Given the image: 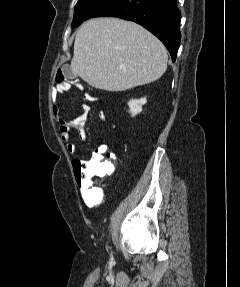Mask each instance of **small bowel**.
<instances>
[{
  "instance_id": "1",
  "label": "small bowel",
  "mask_w": 240,
  "mask_h": 287,
  "mask_svg": "<svg viewBox=\"0 0 240 287\" xmlns=\"http://www.w3.org/2000/svg\"><path fill=\"white\" fill-rule=\"evenodd\" d=\"M76 86L80 87V85L78 84ZM69 87L70 85L65 87L64 92L67 91ZM84 99L88 102H95L98 100L96 96L90 93H86L84 95ZM89 109L90 108L87 104H83L81 106V114H79L77 117H75L72 120H66L61 113L59 104H57L56 107L53 108V116L59 127L60 136L62 140L66 142V148L68 152L70 153H73L76 150L75 144L72 143L70 140L71 130H76L78 132V136L80 140L86 141L87 139V132H86L85 126L87 122V116H88ZM98 118L101 121H106L105 113L99 112ZM107 151H108V146L106 144H101L97 146L92 153L91 160L103 159ZM109 156L110 155L108 154L107 157ZM82 197L84 199V202L89 207H94L98 205L101 201L99 194L95 190H92L88 195L82 194Z\"/></svg>"
}]
</instances>
